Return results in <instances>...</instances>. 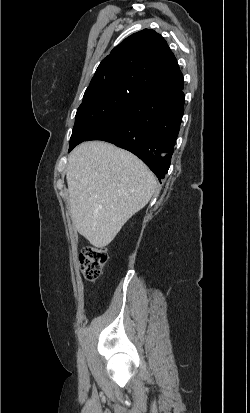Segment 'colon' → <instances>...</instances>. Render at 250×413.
<instances>
[{
    "label": "colon",
    "instance_id": "1",
    "mask_svg": "<svg viewBox=\"0 0 250 413\" xmlns=\"http://www.w3.org/2000/svg\"><path fill=\"white\" fill-rule=\"evenodd\" d=\"M107 259L108 252L105 248L95 246L84 247L79 257L83 276L89 281L98 279L103 272Z\"/></svg>",
    "mask_w": 250,
    "mask_h": 413
}]
</instances>
